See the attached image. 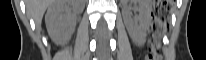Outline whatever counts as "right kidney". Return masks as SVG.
Returning a JSON list of instances; mask_svg holds the SVG:
<instances>
[{"label": "right kidney", "instance_id": "obj_1", "mask_svg": "<svg viewBox=\"0 0 206 60\" xmlns=\"http://www.w3.org/2000/svg\"><path fill=\"white\" fill-rule=\"evenodd\" d=\"M79 5L77 0H57L49 6L45 21L54 41L63 43L72 34Z\"/></svg>", "mask_w": 206, "mask_h": 60}]
</instances>
